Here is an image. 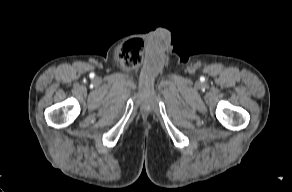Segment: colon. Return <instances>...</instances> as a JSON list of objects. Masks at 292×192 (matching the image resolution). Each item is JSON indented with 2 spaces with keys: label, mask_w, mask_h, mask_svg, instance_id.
<instances>
[{
  "label": "colon",
  "mask_w": 292,
  "mask_h": 192,
  "mask_svg": "<svg viewBox=\"0 0 292 192\" xmlns=\"http://www.w3.org/2000/svg\"><path fill=\"white\" fill-rule=\"evenodd\" d=\"M136 42V44H140V42L139 41H135ZM134 43H131V45L130 46H132ZM137 54L139 55V52H137ZM140 62V59L139 58H137L135 61H134V63H132V66H135V65H137L138 63Z\"/></svg>",
  "instance_id": "1"
}]
</instances>
